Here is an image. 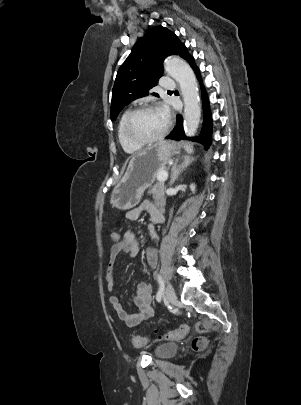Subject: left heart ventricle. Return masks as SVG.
Wrapping results in <instances>:
<instances>
[{
  "label": "left heart ventricle",
  "instance_id": "obj_1",
  "mask_svg": "<svg viewBox=\"0 0 301 405\" xmlns=\"http://www.w3.org/2000/svg\"><path fill=\"white\" fill-rule=\"evenodd\" d=\"M166 117L158 110H149L137 114L131 123V133L139 139H150L164 129Z\"/></svg>",
  "mask_w": 301,
  "mask_h": 405
}]
</instances>
